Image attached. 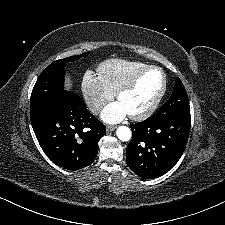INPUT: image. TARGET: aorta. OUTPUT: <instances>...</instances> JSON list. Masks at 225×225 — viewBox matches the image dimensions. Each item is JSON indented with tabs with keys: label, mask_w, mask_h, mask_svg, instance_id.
I'll return each instance as SVG.
<instances>
[{
	"label": "aorta",
	"mask_w": 225,
	"mask_h": 225,
	"mask_svg": "<svg viewBox=\"0 0 225 225\" xmlns=\"http://www.w3.org/2000/svg\"><path fill=\"white\" fill-rule=\"evenodd\" d=\"M116 135L118 139L121 141H129L132 137V132L129 127L127 126H119L116 130Z\"/></svg>",
	"instance_id": "obj_1"
}]
</instances>
